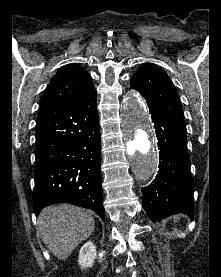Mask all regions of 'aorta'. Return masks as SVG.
<instances>
[{
    "label": "aorta",
    "mask_w": 221,
    "mask_h": 277,
    "mask_svg": "<svg viewBox=\"0 0 221 277\" xmlns=\"http://www.w3.org/2000/svg\"><path fill=\"white\" fill-rule=\"evenodd\" d=\"M120 119L132 169L141 180L149 179L158 167L149 115L141 97L130 92L120 104Z\"/></svg>",
    "instance_id": "762f6f07"
}]
</instances>
